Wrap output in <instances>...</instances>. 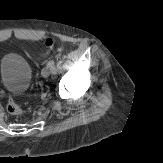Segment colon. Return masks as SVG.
I'll return each mask as SVG.
<instances>
[{"label":"colon","instance_id":"1","mask_svg":"<svg viewBox=\"0 0 163 163\" xmlns=\"http://www.w3.org/2000/svg\"><path fill=\"white\" fill-rule=\"evenodd\" d=\"M46 46L48 48H53L54 45H55V41L51 38L47 39L46 40ZM7 111L11 114V115H14V116H18V115H21L22 114V108L12 99H10L8 101V104H7Z\"/></svg>","mask_w":163,"mask_h":163}]
</instances>
